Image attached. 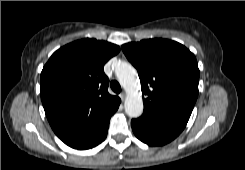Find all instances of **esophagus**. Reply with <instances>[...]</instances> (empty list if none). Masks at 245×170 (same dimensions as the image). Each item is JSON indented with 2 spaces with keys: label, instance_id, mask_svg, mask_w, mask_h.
<instances>
[{
  "label": "esophagus",
  "instance_id": "1",
  "mask_svg": "<svg viewBox=\"0 0 245 170\" xmlns=\"http://www.w3.org/2000/svg\"><path fill=\"white\" fill-rule=\"evenodd\" d=\"M125 96H126L125 92H121L120 93V98L122 99V101H124Z\"/></svg>",
  "mask_w": 245,
  "mask_h": 170
}]
</instances>
